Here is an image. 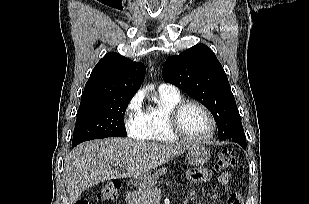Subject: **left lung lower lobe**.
<instances>
[{
    "mask_svg": "<svg viewBox=\"0 0 309 204\" xmlns=\"http://www.w3.org/2000/svg\"><path fill=\"white\" fill-rule=\"evenodd\" d=\"M227 139H230L234 142H237L239 145H241L244 149L246 148V137H245V134H239V135H234L230 138H227ZM221 140H226V139H221Z\"/></svg>",
    "mask_w": 309,
    "mask_h": 204,
    "instance_id": "left-lung-lower-lobe-1",
    "label": "left lung lower lobe"
}]
</instances>
